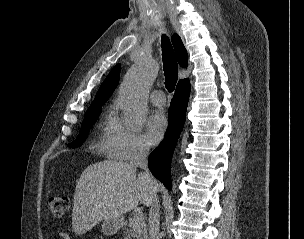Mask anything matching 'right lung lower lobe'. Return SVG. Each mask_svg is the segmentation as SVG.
Here are the masks:
<instances>
[{
    "mask_svg": "<svg viewBox=\"0 0 304 239\" xmlns=\"http://www.w3.org/2000/svg\"><path fill=\"white\" fill-rule=\"evenodd\" d=\"M189 94V80L184 79L179 81L169 108V126L165 138L158 148L149 155L148 159V167L152 174L169 190L172 188L170 167L171 158L184 126Z\"/></svg>",
    "mask_w": 304,
    "mask_h": 239,
    "instance_id": "obj_1",
    "label": "right lung lower lobe"
}]
</instances>
